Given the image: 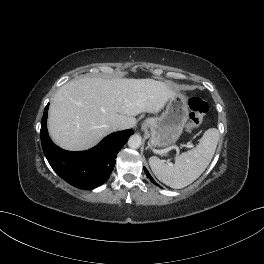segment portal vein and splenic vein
<instances>
[{
	"mask_svg": "<svg viewBox=\"0 0 264 264\" xmlns=\"http://www.w3.org/2000/svg\"><path fill=\"white\" fill-rule=\"evenodd\" d=\"M184 146H185V147H191L192 144L188 143V144H186V145H184Z\"/></svg>",
	"mask_w": 264,
	"mask_h": 264,
	"instance_id": "obj_1",
	"label": "portal vein and splenic vein"
}]
</instances>
